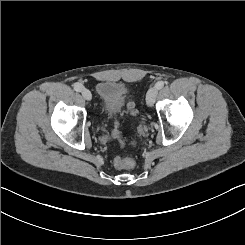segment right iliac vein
<instances>
[{"instance_id":"63e3f726","label":"right iliac vein","mask_w":245,"mask_h":245,"mask_svg":"<svg viewBox=\"0 0 245 245\" xmlns=\"http://www.w3.org/2000/svg\"><path fill=\"white\" fill-rule=\"evenodd\" d=\"M82 96L87 100L90 101L92 99V94L88 89H82Z\"/></svg>"}]
</instances>
